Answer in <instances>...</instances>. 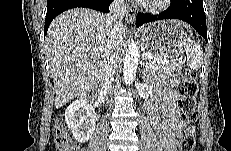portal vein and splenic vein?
Masks as SVG:
<instances>
[{"label":"portal vein and splenic vein","mask_w":231,"mask_h":151,"mask_svg":"<svg viewBox=\"0 0 231 151\" xmlns=\"http://www.w3.org/2000/svg\"><path fill=\"white\" fill-rule=\"evenodd\" d=\"M144 57L148 58V59H154L155 61L159 62V63H169L170 59L169 58H158L155 56H152L150 54H144Z\"/></svg>","instance_id":"18ae733b"}]
</instances>
